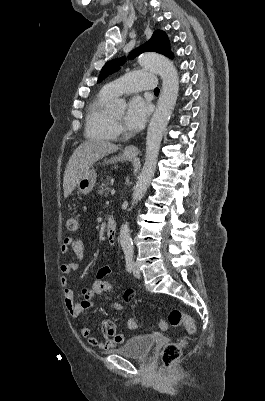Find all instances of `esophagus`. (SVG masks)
<instances>
[{"instance_id":"esophagus-1","label":"esophagus","mask_w":265,"mask_h":401,"mask_svg":"<svg viewBox=\"0 0 265 401\" xmlns=\"http://www.w3.org/2000/svg\"><path fill=\"white\" fill-rule=\"evenodd\" d=\"M125 152H127V154H129L130 156L137 157L140 153V150L136 146L130 145L126 146Z\"/></svg>"}]
</instances>
